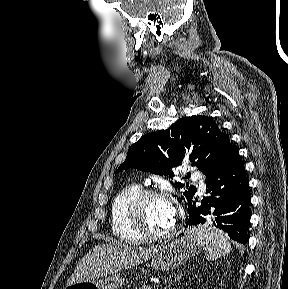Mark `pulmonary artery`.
Masks as SVG:
<instances>
[{"instance_id": "e3ab8cb5", "label": "pulmonary artery", "mask_w": 288, "mask_h": 289, "mask_svg": "<svg viewBox=\"0 0 288 289\" xmlns=\"http://www.w3.org/2000/svg\"><path fill=\"white\" fill-rule=\"evenodd\" d=\"M193 178L198 182L200 192H204L206 189L204 178L200 175V173L197 172L193 173Z\"/></svg>"}]
</instances>
